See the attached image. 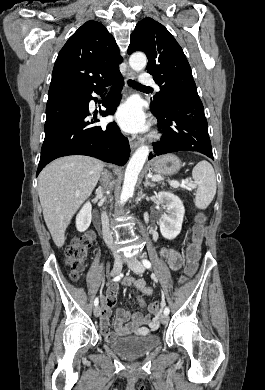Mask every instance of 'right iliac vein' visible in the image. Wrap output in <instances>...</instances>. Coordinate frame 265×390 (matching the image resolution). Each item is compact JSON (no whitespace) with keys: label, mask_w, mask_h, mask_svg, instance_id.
Here are the masks:
<instances>
[{"label":"right iliac vein","mask_w":265,"mask_h":390,"mask_svg":"<svg viewBox=\"0 0 265 390\" xmlns=\"http://www.w3.org/2000/svg\"><path fill=\"white\" fill-rule=\"evenodd\" d=\"M122 265H123V260L120 257H116L111 274L113 276L118 275L122 270ZM100 314H101V308L97 305L94 308V316L99 317Z\"/></svg>","instance_id":"right-iliac-vein-1"}]
</instances>
